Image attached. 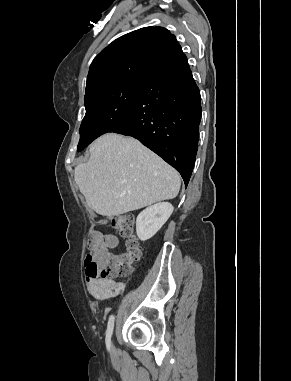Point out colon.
Wrapping results in <instances>:
<instances>
[{"label":"colon","instance_id":"obj_1","mask_svg":"<svg viewBox=\"0 0 291 381\" xmlns=\"http://www.w3.org/2000/svg\"><path fill=\"white\" fill-rule=\"evenodd\" d=\"M103 223L127 240V249L124 253H112L91 245L85 257L86 275L92 278L128 276L142 257V250L134 238V219L130 215H115L107 217Z\"/></svg>","mask_w":291,"mask_h":381}]
</instances>
